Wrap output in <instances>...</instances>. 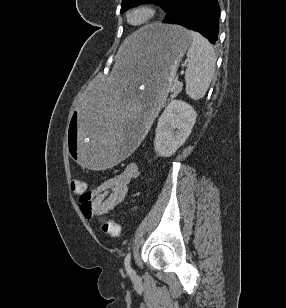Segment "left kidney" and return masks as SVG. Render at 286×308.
Returning <instances> with one entry per match:
<instances>
[{
  "label": "left kidney",
  "mask_w": 286,
  "mask_h": 308,
  "mask_svg": "<svg viewBox=\"0 0 286 308\" xmlns=\"http://www.w3.org/2000/svg\"><path fill=\"white\" fill-rule=\"evenodd\" d=\"M196 117L197 113L191 105L172 100L158 120L154 140L156 153L162 157L172 156L189 137Z\"/></svg>",
  "instance_id": "5707ae66"
}]
</instances>
